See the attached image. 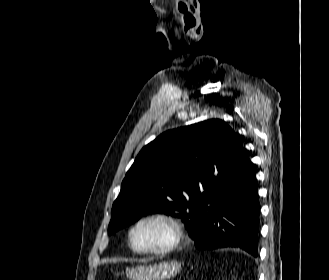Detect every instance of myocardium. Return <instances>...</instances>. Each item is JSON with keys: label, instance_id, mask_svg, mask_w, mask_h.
<instances>
[{"label": "myocardium", "instance_id": "f54148a6", "mask_svg": "<svg viewBox=\"0 0 329 280\" xmlns=\"http://www.w3.org/2000/svg\"><path fill=\"white\" fill-rule=\"evenodd\" d=\"M149 221H160L168 225L171 230V239L167 245L161 248L138 249L133 244V233L138 226ZM182 238H183V230L180 223L175 218V216L167 212L158 211V212L146 214L133 223V225L131 226L128 232V245L130 249L136 254L147 255V256H159L174 251L181 243Z\"/></svg>", "mask_w": 329, "mask_h": 280}]
</instances>
